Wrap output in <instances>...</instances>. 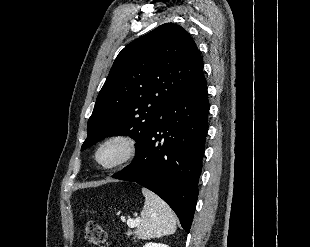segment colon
Masks as SVG:
<instances>
[{
	"label": "colon",
	"instance_id": "colon-1",
	"mask_svg": "<svg viewBox=\"0 0 310 247\" xmlns=\"http://www.w3.org/2000/svg\"><path fill=\"white\" fill-rule=\"evenodd\" d=\"M85 238L91 244H101L105 241V231L99 223L89 221L86 224Z\"/></svg>",
	"mask_w": 310,
	"mask_h": 247
}]
</instances>
